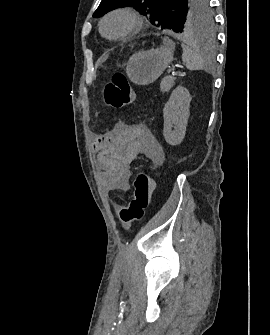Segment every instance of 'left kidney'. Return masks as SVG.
I'll use <instances>...</instances> for the list:
<instances>
[{"label":"left kidney","instance_id":"obj_1","mask_svg":"<svg viewBox=\"0 0 270 335\" xmlns=\"http://www.w3.org/2000/svg\"><path fill=\"white\" fill-rule=\"evenodd\" d=\"M191 96L183 86L173 90L165 108L163 136L170 146H178L184 140L188 122ZM174 128V130H172Z\"/></svg>","mask_w":270,"mask_h":335}]
</instances>
